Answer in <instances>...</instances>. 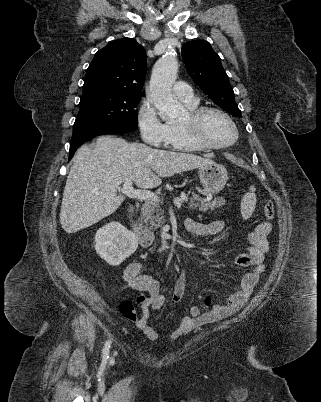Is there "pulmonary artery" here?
I'll return each instance as SVG.
<instances>
[{
	"mask_svg": "<svg viewBox=\"0 0 321 402\" xmlns=\"http://www.w3.org/2000/svg\"><path fill=\"white\" fill-rule=\"evenodd\" d=\"M173 93L184 103L194 102L197 100L191 86L184 82H176L173 86Z\"/></svg>",
	"mask_w": 321,
	"mask_h": 402,
	"instance_id": "obj_1",
	"label": "pulmonary artery"
}]
</instances>
